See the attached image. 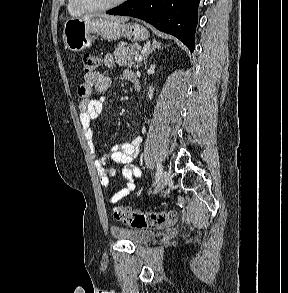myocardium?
I'll return each instance as SVG.
<instances>
[{
    "label": "myocardium",
    "instance_id": "obj_1",
    "mask_svg": "<svg viewBox=\"0 0 288 293\" xmlns=\"http://www.w3.org/2000/svg\"><path fill=\"white\" fill-rule=\"evenodd\" d=\"M74 6L81 12H100L107 11L113 9L121 4H123L126 0H115L109 4L101 5V6H88L82 2V0H72Z\"/></svg>",
    "mask_w": 288,
    "mask_h": 293
}]
</instances>
